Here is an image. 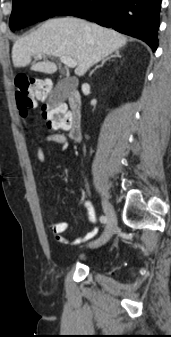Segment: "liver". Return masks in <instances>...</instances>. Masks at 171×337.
Listing matches in <instances>:
<instances>
[{
    "label": "liver",
    "instance_id": "liver-1",
    "mask_svg": "<svg viewBox=\"0 0 171 337\" xmlns=\"http://www.w3.org/2000/svg\"><path fill=\"white\" fill-rule=\"evenodd\" d=\"M126 44L127 38L112 29L74 17L56 18L18 39L12 48V60L20 68L40 54L69 56L77 62L75 74L83 76L91 66ZM31 70L53 74L57 65L45 59L32 64Z\"/></svg>",
    "mask_w": 171,
    "mask_h": 337
}]
</instances>
